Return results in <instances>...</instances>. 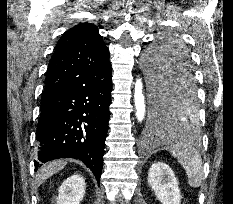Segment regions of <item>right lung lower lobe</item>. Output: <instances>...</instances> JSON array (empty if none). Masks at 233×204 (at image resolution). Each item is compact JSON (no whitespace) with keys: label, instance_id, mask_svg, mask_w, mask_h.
<instances>
[{"label":"right lung lower lobe","instance_id":"1","mask_svg":"<svg viewBox=\"0 0 233 204\" xmlns=\"http://www.w3.org/2000/svg\"><path fill=\"white\" fill-rule=\"evenodd\" d=\"M112 70L109 64L89 71L70 84L43 94L41 115L50 117L39 133L38 160L59 158L82 160L94 173L98 184L111 103ZM39 162L35 161V169Z\"/></svg>","mask_w":233,"mask_h":204}]
</instances>
